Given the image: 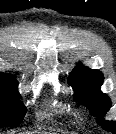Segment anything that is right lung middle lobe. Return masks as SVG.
Wrapping results in <instances>:
<instances>
[{
    "label": "right lung middle lobe",
    "mask_w": 116,
    "mask_h": 134,
    "mask_svg": "<svg viewBox=\"0 0 116 134\" xmlns=\"http://www.w3.org/2000/svg\"><path fill=\"white\" fill-rule=\"evenodd\" d=\"M19 94L0 93V128L18 126L26 114Z\"/></svg>",
    "instance_id": "1"
}]
</instances>
